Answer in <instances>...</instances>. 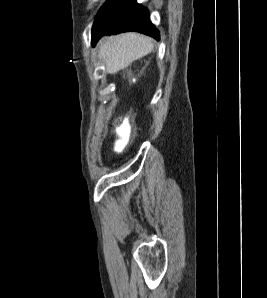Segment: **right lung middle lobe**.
<instances>
[{
  "instance_id": "right-lung-middle-lobe-1",
  "label": "right lung middle lobe",
  "mask_w": 267,
  "mask_h": 298,
  "mask_svg": "<svg viewBox=\"0 0 267 298\" xmlns=\"http://www.w3.org/2000/svg\"><path fill=\"white\" fill-rule=\"evenodd\" d=\"M109 1V0H108ZM108 1L102 6V8L100 9V11L98 12L97 16L101 13V11L104 9L105 5L108 3ZM96 16V18H97Z\"/></svg>"
}]
</instances>
